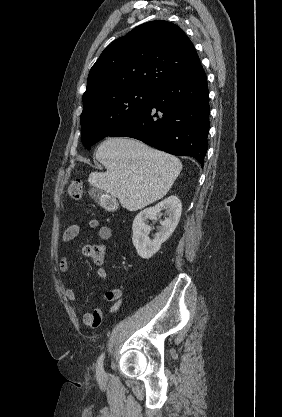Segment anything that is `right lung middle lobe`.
I'll return each mask as SVG.
<instances>
[{
  "label": "right lung middle lobe",
  "mask_w": 282,
  "mask_h": 417,
  "mask_svg": "<svg viewBox=\"0 0 282 417\" xmlns=\"http://www.w3.org/2000/svg\"><path fill=\"white\" fill-rule=\"evenodd\" d=\"M156 90L127 88L109 91L83 100L81 114L82 143L90 149L139 113Z\"/></svg>",
  "instance_id": "1"
}]
</instances>
